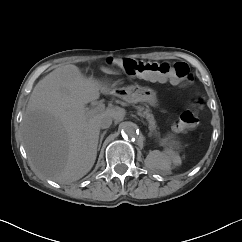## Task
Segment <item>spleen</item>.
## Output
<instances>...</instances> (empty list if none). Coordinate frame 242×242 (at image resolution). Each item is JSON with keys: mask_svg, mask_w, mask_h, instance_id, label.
Instances as JSON below:
<instances>
[{"mask_svg": "<svg viewBox=\"0 0 242 242\" xmlns=\"http://www.w3.org/2000/svg\"><path fill=\"white\" fill-rule=\"evenodd\" d=\"M146 162L151 168L167 172L171 170L172 163L178 164L180 162V157L171 150L164 152L155 150L149 153Z\"/></svg>", "mask_w": 242, "mask_h": 242, "instance_id": "obj_1", "label": "spleen"}]
</instances>
